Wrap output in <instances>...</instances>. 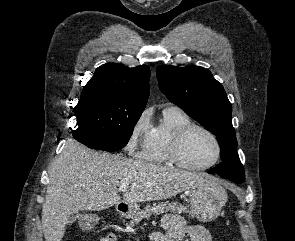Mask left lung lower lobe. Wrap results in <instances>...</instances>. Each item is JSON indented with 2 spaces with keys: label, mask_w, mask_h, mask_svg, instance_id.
Wrapping results in <instances>:
<instances>
[{
  "label": "left lung lower lobe",
  "mask_w": 295,
  "mask_h": 241,
  "mask_svg": "<svg viewBox=\"0 0 295 241\" xmlns=\"http://www.w3.org/2000/svg\"><path fill=\"white\" fill-rule=\"evenodd\" d=\"M208 173H210V174H213L211 170H210V171H208ZM238 183H240V182H238Z\"/></svg>",
  "instance_id": "left-lung-lower-lobe-1"
}]
</instances>
